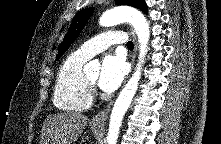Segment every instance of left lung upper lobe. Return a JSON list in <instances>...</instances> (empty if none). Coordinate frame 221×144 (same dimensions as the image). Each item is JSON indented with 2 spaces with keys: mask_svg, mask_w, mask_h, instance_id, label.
Returning <instances> with one entry per match:
<instances>
[{
  "mask_svg": "<svg viewBox=\"0 0 221 144\" xmlns=\"http://www.w3.org/2000/svg\"><path fill=\"white\" fill-rule=\"evenodd\" d=\"M117 5H129L133 6L141 11L147 13V6L144 0H115ZM94 8H85L78 12L73 19L70 28L62 42L61 48L57 55V59L61 57V55L70 47V44L77 38L85 24L89 20L90 16L93 13Z\"/></svg>",
  "mask_w": 221,
  "mask_h": 144,
  "instance_id": "left-lung-upper-lobe-1",
  "label": "left lung upper lobe"
}]
</instances>
